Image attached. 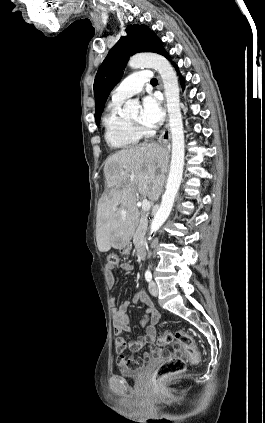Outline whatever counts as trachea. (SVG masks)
Returning <instances> with one entry per match:
<instances>
[{
	"label": "trachea",
	"mask_w": 265,
	"mask_h": 423,
	"mask_svg": "<svg viewBox=\"0 0 265 423\" xmlns=\"http://www.w3.org/2000/svg\"><path fill=\"white\" fill-rule=\"evenodd\" d=\"M158 83V81H157V79L156 78H153L152 80H151V84H157Z\"/></svg>",
	"instance_id": "3493384b"
}]
</instances>
